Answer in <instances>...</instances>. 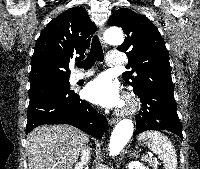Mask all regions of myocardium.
<instances>
[{"instance_id": "myocardium-1", "label": "myocardium", "mask_w": 200, "mask_h": 169, "mask_svg": "<svg viewBox=\"0 0 200 169\" xmlns=\"http://www.w3.org/2000/svg\"><path fill=\"white\" fill-rule=\"evenodd\" d=\"M139 108L138 100L130 93L126 94L122 105L120 106L119 114L122 116H130L137 112Z\"/></svg>"}]
</instances>
